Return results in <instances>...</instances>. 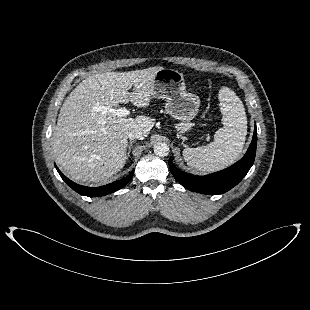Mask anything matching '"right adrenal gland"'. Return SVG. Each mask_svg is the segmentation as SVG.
Masks as SVG:
<instances>
[{
    "label": "right adrenal gland",
    "mask_w": 310,
    "mask_h": 310,
    "mask_svg": "<svg viewBox=\"0 0 310 310\" xmlns=\"http://www.w3.org/2000/svg\"><path fill=\"white\" fill-rule=\"evenodd\" d=\"M135 141L134 140H131L130 143H129V146H128V151H127V159L129 158L130 156V153H131V147L133 145Z\"/></svg>",
    "instance_id": "obj_1"
}]
</instances>
